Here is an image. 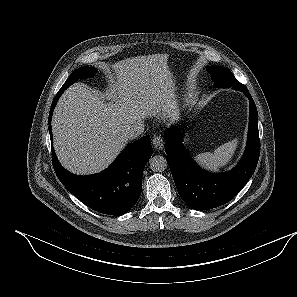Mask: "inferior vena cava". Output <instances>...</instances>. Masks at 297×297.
<instances>
[{
  "instance_id": "602c4592",
  "label": "inferior vena cava",
  "mask_w": 297,
  "mask_h": 297,
  "mask_svg": "<svg viewBox=\"0 0 297 297\" xmlns=\"http://www.w3.org/2000/svg\"><path fill=\"white\" fill-rule=\"evenodd\" d=\"M144 131V125L141 121H137L133 123L132 125H129L124 130V136L127 139H135L138 136H140Z\"/></svg>"
}]
</instances>
